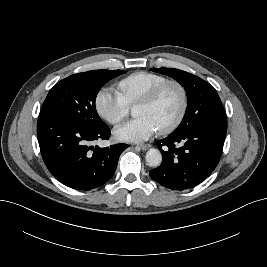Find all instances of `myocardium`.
I'll return each mask as SVG.
<instances>
[{"label": "myocardium", "mask_w": 267, "mask_h": 267, "mask_svg": "<svg viewBox=\"0 0 267 267\" xmlns=\"http://www.w3.org/2000/svg\"><path fill=\"white\" fill-rule=\"evenodd\" d=\"M170 85H174L179 89L181 95V107L176 118L168 126L158 130V133L161 135H166L173 132L181 124L186 114L188 108V94L185 86L177 80L167 79L166 81L155 86L138 102V105L153 104L158 99L162 91Z\"/></svg>", "instance_id": "1"}]
</instances>
